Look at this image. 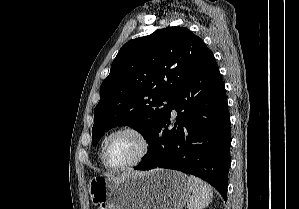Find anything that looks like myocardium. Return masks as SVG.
Listing matches in <instances>:
<instances>
[{
  "instance_id": "f54148a6",
  "label": "myocardium",
  "mask_w": 299,
  "mask_h": 209,
  "mask_svg": "<svg viewBox=\"0 0 299 209\" xmlns=\"http://www.w3.org/2000/svg\"><path fill=\"white\" fill-rule=\"evenodd\" d=\"M122 133H130V134L135 135L141 143V151H140L139 155L132 162H130L126 165H122V166H113L107 160L108 147H109L111 140L115 136L122 134ZM151 147H152L151 139L146 134V132H144L142 129H140L139 127H136V126H124V127H121L119 129L113 131L106 138L104 145H103V149H102V162L108 169L113 170V171L128 170V169H131V168H134V167L140 165L149 155V153L151 151Z\"/></svg>"
}]
</instances>
